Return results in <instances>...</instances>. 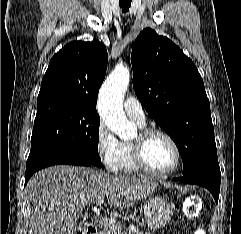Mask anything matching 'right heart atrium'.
I'll return each mask as SVG.
<instances>
[{
	"label": "right heart atrium",
	"instance_id": "obj_1",
	"mask_svg": "<svg viewBox=\"0 0 241 234\" xmlns=\"http://www.w3.org/2000/svg\"><path fill=\"white\" fill-rule=\"evenodd\" d=\"M121 142L116 138L110 128L103 122L99 123L95 133L96 153L110 172L118 171V160Z\"/></svg>",
	"mask_w": 241,
	"mask_h": 234
}]
</instances>
